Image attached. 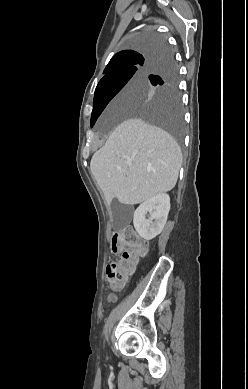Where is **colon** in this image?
<instances>
[{
    "label": "colon",
    "mask_w": 248,
    "mask_h": 389,
    "mask_svg": "<svg viewBox=\"0 0 248 389\" xmlns=\"http://www.w3.org/2000/svg\"><path fill=\"white\" fill-rule=\"evenodd\" d=\"M112 249L114 253L121 255V260L110 262L106 273L110 287L118 289L125 285L138 258L147 253L148 246L132 226H127L114 234Z\"/></svg>",
    "instance_id": "1"
}]
</instances>
